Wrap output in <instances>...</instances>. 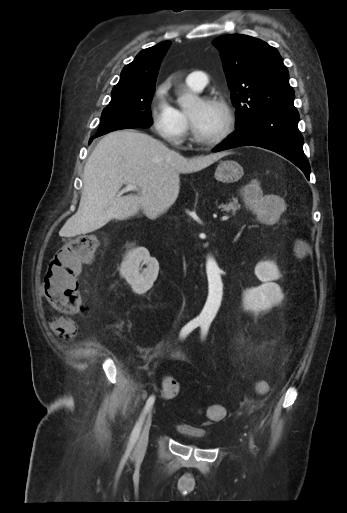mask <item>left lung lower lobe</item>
<instances>
[{"label": "left lung lower lobe", "mask_w": 347, "mask_h": 513, "mask_svg": "<svg viewBox=\"0 0 347 513\" xmlns=\"http://www.w3.org/2000/svg\"><path fill=\"white\" fill-rule=\"evenodd\" d=\"M298 119L297 110L260 114L247 124L236 127V131L217 146L214 152L239 146L262 147L290 160L309 179L310 166L303 152V137L298 130Z\"/></svg>", "instance_id": "1"}]
</instances>
